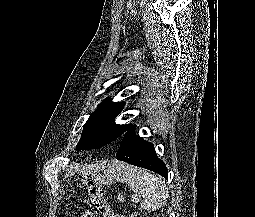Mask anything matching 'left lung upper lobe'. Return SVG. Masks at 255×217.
<instances>
[{"mask_svg": "<svg viewBox=\"0 0 255 217\" xmlns=\"http://www.w3.org/2000/svg\"><path fill=\"white\" fill-rule=\"evenodd\" d=\"M123 107V102L103 100L85 123L77 149H97L115 140H121L131 126V124L119 125L114 122Z\"/></svg>", "mask_w": 255, "mask_h": 217, "instance_id": "1", "label": "left lung upper lobe"}]
</instances>
